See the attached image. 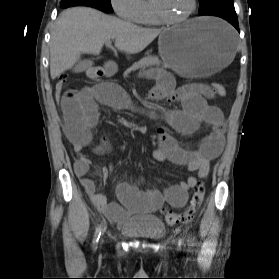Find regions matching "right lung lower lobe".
<instances>
[{
    "mask_svg": "<svg viewBox=\"0 0 279 279\" xmlns=\"http://www.w3.org/2000/svg\"><path fill=\"white\" fill-rule=\"evenodd\" d=\"M72 6H89L101 11H106L100 4H98L95 0H62L61 7L68 8Z\"/></svg>",
    "mask_w": 279,
    "mask_h": 279,
    "instance_id": "right-lung-lower-lobe-1",
    "label": "right lung lower lobe"
}]
</instances>
